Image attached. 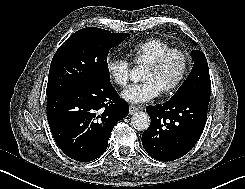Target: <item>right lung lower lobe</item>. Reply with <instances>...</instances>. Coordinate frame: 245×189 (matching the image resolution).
<instances>
[{
    "instance_id": "right-lung-lower-lobe-1",
    "label": "right lung lower lobe",
    "mask_w": 245,
    "mask_h": 189,
    "mask_svg": "<svg viewBox=\"0 0 245 189\" xmlns=\"http://www.w3.org/2000/svg\"><path fill=\"white\" fill-rule=\"evenodd\" d=\"M110 80L47 98V120L54 140L70 158L89 162L100 157L118 121L128 115Z\"/></svg>"
}]
</instances>
